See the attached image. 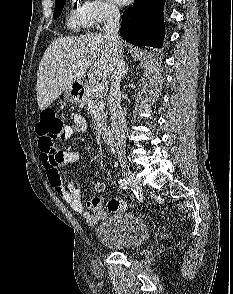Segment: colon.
Returning a JSON list of instances; mask_svg holds the SVG:
<instances>
[{
	"label": "colon",
	"instance_id": "5ec220e1",
	"mask_svg": "<svg viewBox=\"0 0 233 294\" xmlns=\"http://www.w3.org/2000/svg\"><path fill=\"white\" fill-rule=\"evenodd\" d=\"M64 123L56 112L52 109L44 110L36 124V133L39 136V147L41 151L52 156L56 155L55 142L60 140L64 131ZM107 208L117 211L124 208L123 204L117 199L107 202Z\"/></svg>",
	"mask_w": 233,
	"mask_h": 294
}]
</instances>
